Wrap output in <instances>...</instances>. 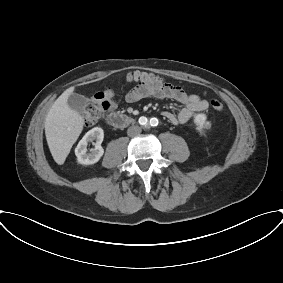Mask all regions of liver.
Returning <instances> with one entry per match:
<instances>
[{
	"label": "liver",
	"mask_w": 283,
	"mask_h": 283,
	"mask_svg": "<svg viewBox=\"0 0 283 283\" xmlns=\"http://www.w3.org/2000/svg\"><path fill=\"white\" fill-rule=\"evenodd\" d=\"M74 87L64 91L54 102L45 118V135L53 159L62 165L73 144L83 130L82 116L71 109L67 103Z\"/></svg>",
	"instance_id": "liver-1"
}]
</instances>
